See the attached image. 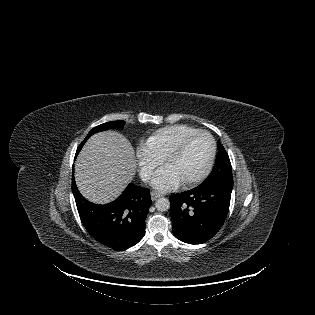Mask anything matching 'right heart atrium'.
<instances>
[{
    "label": "right heart atrium",
    "mask_w": 315,
    "mask_h": 315,
    "mask_svg": "<svg viewBox=\"0 0 315 315\" xmlns=\"http://www.w3.org/2000/svg\"><path fill=\"white\" fill-rule=\"evenodd\" d=\"M136 157L140 176L145 180L151 176L155 168L161 163V160L144 143L137 147Z\"/></svg>",
    "instance_id": "d8ad5b80"
}]
</instances>
